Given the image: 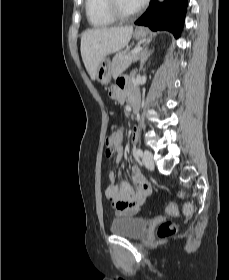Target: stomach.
Instances as JSON below:
<instances>
[{
	"label": "stomach",
	"mask_w": 229,
	"mask_h": 280,
	"mask_svg": "<svg viewBox=\"0 0 229 280\" xmlns=\"http://www.w3.org/2000/svg\"><path fill=\"white\" fill-rule=\"evenodd\" d=\"M147 36V31L139 28L134 32L135 39H143ZM96 80L101 84L107 85L111 81V63L109 59L105 58L99 65L96 72Z\"/></svg>",
	"instance_id": "stomach-1"
}]
</instances>
